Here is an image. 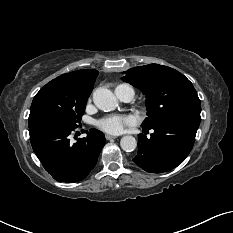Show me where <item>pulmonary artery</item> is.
Here are the masks:
<instances>
[{
  "label": "pulmonary artery",
  "instance_id": "obj_1",
  "mask_svg": "<svg viewBox=\"0 0 233 233\" xmlns=\"http://www.w3.org/2000/svg\"><path fill=\"white\" fill-rule=\"evenodd\" d=\"M115 93L117 97L124 101L129 102L133 99L134 91L131 86L129 85H120L115 89Z\"/></svg>",
  "mask_w": 233,
  "mask_h": 233
}]
</instances>
